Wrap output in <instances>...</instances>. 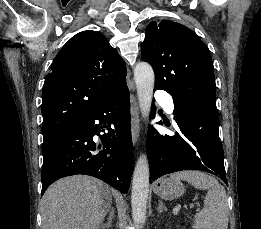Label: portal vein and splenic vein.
I'll list each match as a JSON object with an SVG mask.
<instances>
[{"mask_svg":"<svg viewBox=\"0 0 261 229\" xmlns=\"http://www.w3.org/2000/svg\"><path fill=\"white\" fill-rule=\"evenodd\" d=\"M181 207H182V204H177V205L175 206V208L171 211V214H172V215H178V213L180 212ZM189 207H190V209H192V207H194V205H189ZM196 207H197V208H200V207H201V204H200V203H197V204H196Z\"/></svg>","mask_w":261,"mask_h":229,"instance_id":"obj_1","label":"portal vein and splenic vein"}]
</instances>
